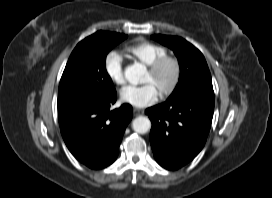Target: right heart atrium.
<instances>
[{
	"label": "right heart atrium",
	"mask_w": 272,
	"mask_h": 198,
	"mask_svg": "<svg viewBox=\"0 0 272 198\" xmlns=\"http://www.w3.org/2000/svg\"><path fill=\"white\" fill-rule=\"evenodd\" d=\"M104 71L109 80L118 87L125 84L122 55L117 51H110L104 58Z\"/></svg>",
	"instance_id": "obj_1"
}]
</instances>
